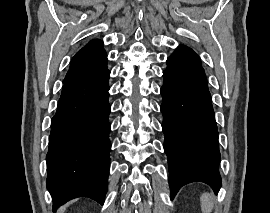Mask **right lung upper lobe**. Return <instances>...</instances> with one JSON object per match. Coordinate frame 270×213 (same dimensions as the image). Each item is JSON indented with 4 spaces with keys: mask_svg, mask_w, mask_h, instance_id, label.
Listing matches in <instances>:
<instances>
[{
    "mask_svg": "<svg viewBox=\"0 0 270 213\" xmlns=\"http://www.w3.org/2000/svg\"><path fill=\"white\" fill-rule=\"evenodd\" d=\"M107 69V54L101 40H92L72 58L63 83L94 75Z\"/></svg>",
    "mask_w": 270,
    "mask_h": 213,
    "instance_id": "cb5924a9",
    "label": "right lung upper lobe"
}]
</instances>
